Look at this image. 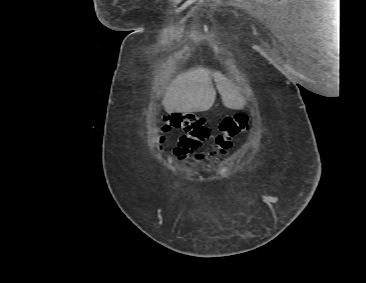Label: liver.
Segmentation results:
<instances>
[{"label":"liver","mask_w":366,"mask_h":283,"mask_svg":"<svg viewBox=\"0 0 366 283\" xmlns=\"http://www.w3.org/2000/svg\"><path fill=\"white\" fill-rule=\"evenodd\" d=\"M211 75L221 95L222 102L229 109H242L245 100L238 89L220 72L204 67L192 68L178 75L168 87L162 101L167 113H191L209 110L215 101L216 91Z\"/></svg>","instance_id":"obj_1"}]
</instances>
